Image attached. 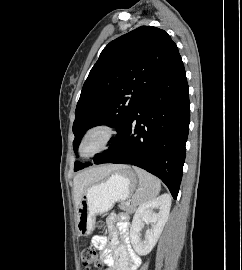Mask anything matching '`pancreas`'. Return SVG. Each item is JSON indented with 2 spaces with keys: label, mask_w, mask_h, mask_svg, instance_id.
<instances>
[{
  "label": "pancreas",
  "mask_w": 242,
  "mask_h": 270,
  "mask_svg": "<svg viewBox=\"0 0 242 270\" xmlns=\"http://www.w3.org/2000/svg\"><path fill=\"white\" fill-rule=\"evenodd\" d=\"M133 203V202H132ZM120 208L122 209V210H124V211H126V212H128V213H133V212H135V210H136V206H135V203H133V204H122L121 206H120Z\"/></svg>",
  "instance_id": "1"
}]
</instances>
